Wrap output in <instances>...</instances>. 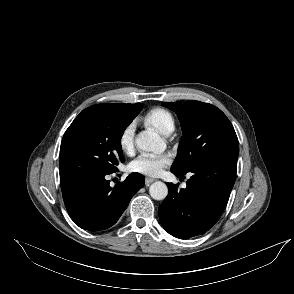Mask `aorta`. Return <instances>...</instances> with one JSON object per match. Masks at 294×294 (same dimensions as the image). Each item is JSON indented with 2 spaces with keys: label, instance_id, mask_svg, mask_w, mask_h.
Returning <instances> with one entry per match:
<instances>
[{
  "label": "aorta",
  "instance_id": "obj_1",
  "mask_svg": "<svg viewBox=\"0 0 294 294\" xmlns=\"http://www.w3.org/2000/svg\"><path fill=\"white\" fill-rule=\"evenodd\" d=\"M162 142L161 137L152 131H144L136 138L137 147L146 152L156 151ZM149 193L153 199L163 200L168 195V188L165 183L156 181L150 186Z\"/></svg>",
  "mask_w": 294,
  "mask_h": 294
}]
</instances>
